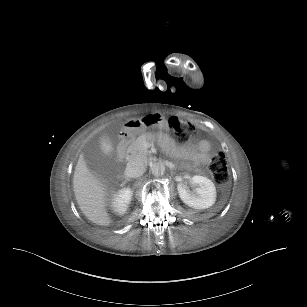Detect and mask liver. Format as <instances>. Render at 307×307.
Returning a JSON list of instances; mask_svg holds the SVG:
<instances>
[{
	"label": "liver",
	"mask_w": 307,
	"mask_h": 307,
	"mask_svg": "<svg viewBox=\"0 0 307 307\" xmlns=\"http://www.w3.org/2000/svg\"><path fill=\"white\" fill-rule=\"evenodd\" d=\"M73 188L83 214L97 225L109 226L111 219L106 209V187L89 171L82 155L75 168Z\"/></svg>",
	"instance_id": "liver-1"
}]
</instances>
